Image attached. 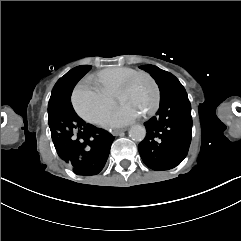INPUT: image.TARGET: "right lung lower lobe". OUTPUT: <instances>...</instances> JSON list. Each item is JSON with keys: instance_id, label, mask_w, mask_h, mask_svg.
<instances>
[{"instance_id": "obj_1", "label": "right lung lower lobe", "mask_w": 241, "mask_h": 241, "mask_svg": "<svg viewBox=\"0 0 241 241\" xmlns=\"http://www.w3.org/2000/svg\"><path fill=\"white\" fill-rule=\"evenodd\" d=\"M91 69L84 65L75 68L68 80V89ZM63 131L54 140L59 157L70 164L77 175L98 174L104 167L114 137L105 130L86 124L75 112L64 113L61 121Z\"/></svg>"}]
</instances>
